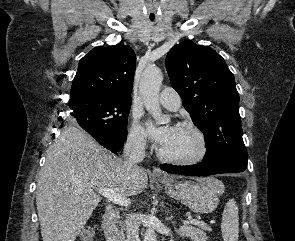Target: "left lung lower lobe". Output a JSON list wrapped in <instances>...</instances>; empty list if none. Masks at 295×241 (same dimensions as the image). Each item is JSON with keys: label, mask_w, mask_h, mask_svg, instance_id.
Wrapping results in <instances>:
<instances>
[{"label": "left lung lower lobe", "mask_w": 295, "mask_h": 241, "mask_svg": "<svg viewBox=\"0 0 295 241\" xmlns=\"http://www.w3.org/2000/svg\"><path fill=\"white\" fill-rule=\"evenodd\" d=\"M247 165L228 161V160H211L202 161L196 165L175 166L162 164L161 170L172 174L189 175V176H208L221 173H238L246 170Z\"/></svg>", "instance_id": "1"}]
</instances>
